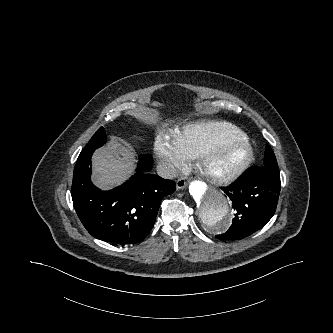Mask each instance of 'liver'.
Returning a JSON list of instances; mask_svg holds the SVG:
<instances>
[{"label": "liver", "mask_w": 333, "mask_h": 333, "mask_svg": "<svg viewBox=\"0 0 333 333\" xmlns=\"http://www.w3.org/2000/svg\"><path fill=\"white\" fill-rule=\"evenodd\" d=\"M135 161L134 151L122 139L110 138L106 147L93 154V183L103 190L122 184L132 174Z\"/></svg>", "instance_id": "liver-1"}]
</instances>
